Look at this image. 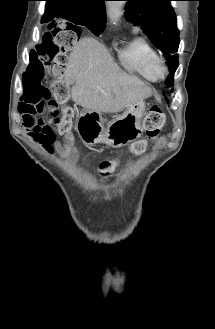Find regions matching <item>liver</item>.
Instances as JSON below:
<instances>
[{"mask_svg":"<svg viewBox=\"0 0 215 329\" xmlns=\"http://www.w3.org/2000/svg\"><path fill=\"white\" fill-rule=\"evenodd\" d=\"M72 84V100L97 113H114L149 98L152 90L137 77L128 75L94 38L80 39L73 47L64 72Z\"/></svg>","mask_w":215,"mask_h":329,"instance_id":"liver-1","label":"liver"}]
</instances>
